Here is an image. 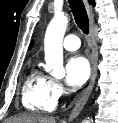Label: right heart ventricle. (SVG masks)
<instances>
[{"mask_svg": "<svg viewBox=\"0 0 118 123\" xmlns=\"http://www.w3.org/2000/svg\"><path fill=\"white\" fill-rule=\"evenodd\" d=\"M51 79L37 69L26 77L22 89V103L30 111L47 113L55 109L57 99L50 86Z\"/></svg>", "mask_w": 118, "mask_h": 123, "instance_id": "right-heart-ventricle-1", "label": "right heart ventricle"}]
</instances>
